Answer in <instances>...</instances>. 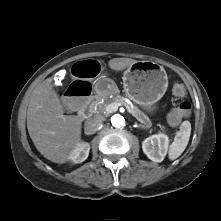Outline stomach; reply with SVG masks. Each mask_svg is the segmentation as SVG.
<instances>
[{
    "mask_svg": "<svg viewBox=\"0 0 221 221\" xmlns=\"http://www.w3.org/2000/svg\"><path fill=\"white\" fill-rule=\"evenodd\" d=\"M168 86L164 68L152 61H136L123 75V87L128 97L148 112L155 110Z\"/></svg>",
    "mask_w": 221,
    "mask_h": 221,
    "instance_id": "stomach-1",
    "label": "stomach"
}]
</instances>
